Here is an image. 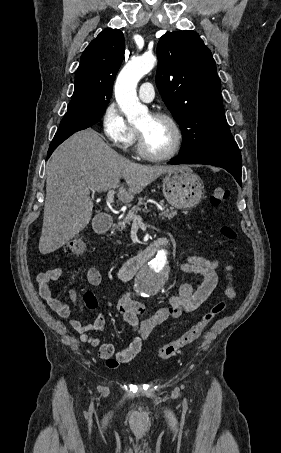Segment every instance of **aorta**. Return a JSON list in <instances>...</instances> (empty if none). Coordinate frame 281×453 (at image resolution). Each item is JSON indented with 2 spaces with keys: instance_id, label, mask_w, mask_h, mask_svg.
Listing matches in <instances>:
<instances>
[{
  "instance_id": "aorta-1",
  "label": "aorta",
  "mask_w": 281,
  "mask_h": 453,
  "mask_svg": "<svg viewBox=\"0 0 281 453\" xmlns=\"http://www.w3.org/2000/svg\"><path fill=\"white\" fill-rule=\"evenodd\" d=\"M155 63L156 57L153 55L133 58L124 66L117 77L115 98L131 124L140 122L148 114L147 107L138 100L136 88L139 80L153 69ZM166 263L167 252L161 250L147 266L138 272L134 283L135 292L138 296L149 298L161 291L167 277L163 272Z\"/></svg>"
}]
</instances>
